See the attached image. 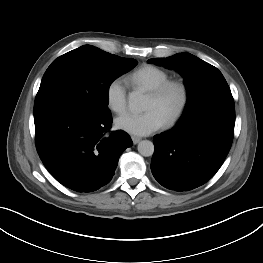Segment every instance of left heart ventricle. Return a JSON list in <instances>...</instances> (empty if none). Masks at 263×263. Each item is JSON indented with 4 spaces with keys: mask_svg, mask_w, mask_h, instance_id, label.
I'll use <instances>...</instances> for the list:
<instances>
[{
    "mask_svg": "<svg viewBox=\"0 0 263 263\" xmlns=\"http://www.w3.org/2000/svg\"><path fill=\"white\" fill-rule=\"evenodd\" d=\"M177 103L178 94L176 92H171L162 100H157L149 95L145 104V110L154 109L165 120L166 117L174 110Z\"/></svg>",
    "mask_w": 263,
    "mask_h": 263,
    "instance_id": "left-heart-ventricle-1",
    "label": "left heart ventricle"
}]
</instances>
